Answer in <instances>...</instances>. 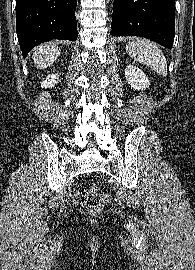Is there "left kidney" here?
<instances>
[{
  "mask_svg": "<svg viewBox=\"0 0 195 270\" xmlns=\"http://www.w3.org/2000/svg\"><path fill=\"white\" fill-rule=\"evenodd\" d=\"M125 77L129 84L136 90H144L149 87L150 82L145 73L138 67L128 65L125 69Z\"/></svg>",
  "mask_w": 195,
  "mask_h": 270,
  "instance_id": "obj_1",
  "label": "left kidney"
}]
</instances>
